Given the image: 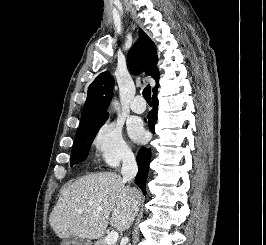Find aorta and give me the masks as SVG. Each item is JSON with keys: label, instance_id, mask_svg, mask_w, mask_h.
<instances>
[{"label": "aorta", "instance_id": "1", "mask_svg": "<svg viewBox=\"0 0 266 245\" xmlns=\"http://www.w3.org/2000/svg\"><path fill=\"white\" fill-rule=\"evenodd\" d=\"M113 106H115V108H118L119 106L118 100H113Z\"/></svg>", "mask_w": 266, "mask_h": 245}]
</instances>
